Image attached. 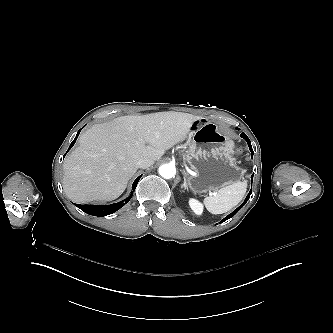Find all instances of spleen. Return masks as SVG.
Returning a JSON list of instances; mask_svg holds the SVG:
<instances>
[{
  "label": "spleen",
  "mask_w": 333,
  "mask_h": 333,
  "mask_svg": "<svg viewBox=\"0 0 333 333\" xmlns=\"http://www.w3.org/2000/svg\"><path fill=\"white\" fill-rule=\"evenodd\" d=\"M247 191L246 181H237L220 188L214 196L204 199L206 209L212 214H223L237 206Z\"/></svg>",
  "instance_id": "spleen-1"
}]
</instances>
